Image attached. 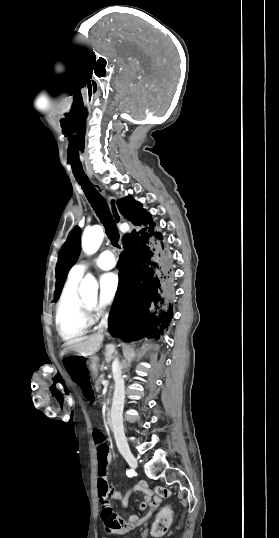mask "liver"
Segmentation results:
<instances>
[{"label":"liver","instance_id":"1","mask_svg":"<svg viewBox=\"0 0 279 538\" xmlns=\"http://www.w3.org/2000/svg\"><path fill=\"white\" fill-rule=\"evenodd\" d=\"M103 340V334H92V336H86L82 342H73V344H66V346H68L67 350L78 352L80 356H92V354L99 352ZM105 352L113 354L112 346H105Z\"/></svg>","mask_w":279,"mask_h":538}]
</instances>
